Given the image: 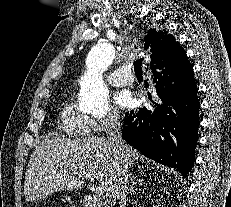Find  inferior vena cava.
<instances>
[{"instance_id": "602c4592", "label": "inferior vena cava", "mask_w": 231, "mask_h": 207, "mask_svg": "<svg viewBox=\"0 0 231 207\" xmlns=\"http://www.w3.org/2000/svg\"><path fill=\"white\" fill-rule=\"evenodd\" d=\"M107 142L117 153L121 152L123 140L120 133V121L117 116H112L106 127ZM128 173L126 169H121L115 180V195L120 207L126 205V194L128 192Z\"/></svg>"}]
</instances>
